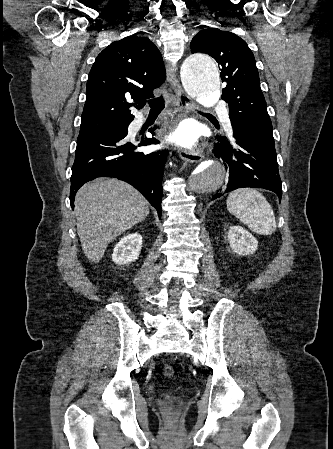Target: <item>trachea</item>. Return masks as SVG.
Instances as JSON below:
<instances>
[{"label": "trachea", "mask_w": 333, "mask_h": 449, "mask_svg": "<svg viewBox=\"0 0 333 449\" xmlns=\"http://www.w3.org/2000/svg\"><path fill=\"white\" fill-rule=\"evenodd\" d=\"M149 105L151 107V110H150L151 113L160 112L164 108V99H163V97L153 99V100L149 101Z\"/></svg>", "instance_id": "3493384b"}]
</instances>
